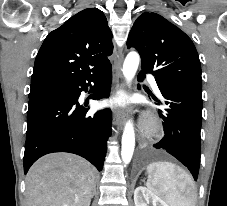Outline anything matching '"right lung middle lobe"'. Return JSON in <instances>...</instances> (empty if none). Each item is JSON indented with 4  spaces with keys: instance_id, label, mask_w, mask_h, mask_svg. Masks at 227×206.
I'll return each instance as SVG.
<instances>
[{
    "instance_id": "1",
    "label": "right lung middle lobe",
    "mask_w": 227,
    "mask_h": 206,
    "mask_svg": "<svg viewBox=\"0 0 227 206\" xmlns=\"http://www.w3.org/2000/svg\"><path fill=\"white\" fill-rule=\"evenodd\" d=\"M68 84L62 81H41L36 83H31V90L29 97L34 95L43 94L46 92H56L64 90Z\"/></svg>"
}]
</instances>
